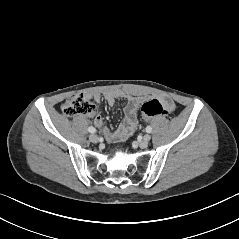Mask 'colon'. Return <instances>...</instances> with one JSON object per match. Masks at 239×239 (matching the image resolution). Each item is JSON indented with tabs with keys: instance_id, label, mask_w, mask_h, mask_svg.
<instances>
[{
	"instance_id": "colon-1",
	"label": "colon",
	"mask_w": 239,
	"mask_h": 239,
	"mask_svg": "<svg viewBox=\"0 0 239 239\" xmlns=\"http://www.w3.org/2000/svg\"><path fill=\"white\" fill-rule=\"evenodd\" d=\"M62 111L67 116L90 115L94 112V105L87 96L76 94L66 99ZM167 113L164 105L156 99L145 102L141 107V115L145 121L156 116H165Z\"/></svg>"
}]
</instances>
